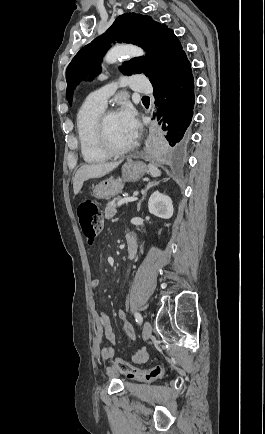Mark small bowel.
Returning a JSON list of instances; mask_svg holds the SVG:
<instances>
[{
  "instance_id": "c3829d8e",
  "label": "small bowel",
  "mask_w": 265,
  "mask_h": 434,
  "mask_svg": "<svg viewBox=\"0 0 265 434\" xmlns=\"http://www.w3.org/2000/svg\"><path fill=\"white\" fill-rule=\"evenodd\" d=\"M136 240L133 235L128 239V243ZM100 281L98 279H93L91 281V289L98 290L100 288ZM118 318L120 319L123 329L127 333L128 337L132 341H136V336L132 325L127 319L126 313L123 310L118 311ZM93 319L95 323V342L98 347L99 354L102 359L107 360L114 356L115 349L114 345L116 343V336L113 332L112 323L110 317L101 309H95L93 312ZM136 358L140 360H146L148 354L143 346H141L137 353ZM108 377H113V372H108Z\"/></svg>"
}]
</instances>
